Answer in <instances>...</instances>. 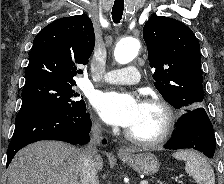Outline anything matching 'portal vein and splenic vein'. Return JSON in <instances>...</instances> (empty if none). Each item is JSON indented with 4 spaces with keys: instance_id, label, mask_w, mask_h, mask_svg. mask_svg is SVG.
Wrapping results in <instances>:
<instances>
[{
    "instance_id": "portal-vein-and-splenic-vein-1",
    "label": "portal vein and splenic vein",
    "mask_w": 224,
    "mask_h": 184,
    "mask_svg": "<svg viewBox=\"0 0 224 184\" xmlns=\"http://www.w3.org/2000/svg\"><path fill=\"white\" fill-rule=\"evenodd\" d=\"M140 184H149V183H148V181L143 180V181L140 182Z\"/></svg>"
}]
</instances>
